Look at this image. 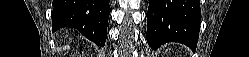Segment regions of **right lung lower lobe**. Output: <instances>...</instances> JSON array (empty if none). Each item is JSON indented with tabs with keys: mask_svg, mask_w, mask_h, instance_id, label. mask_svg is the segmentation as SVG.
<instances>
[{
	"mask_svg": "<svg viewBox=\"0 0 249 57\" xmlns=\"http://www.w3.org/2000/svg\"><path fill=\"white\" fill-rule=\"evenodd\" d=\"M52 29L73 27L96 45L104 46L110 6L108 0H54Z\"/></svg>",
	"mask_w": 249,
	"mask_h": 57,
	"instance_id": "1",
	"label": "right lung lower lobe"
}]
</instances>
